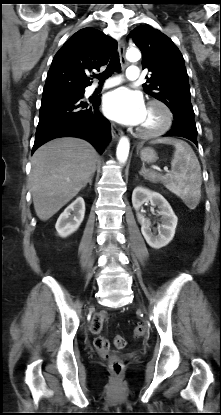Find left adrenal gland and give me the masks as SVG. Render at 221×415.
<instances>
[{
  "instance_id": "1",
  "label": "left adrenal gland",
  "mask_w": 221,
  "mask_h": 415,
  "mask_svg": "<svg viewBox=\"0 0 221 415\" xmlns=\"http://www.w3.org/2000/svg\"><path fill=\"white\" fill-rule=\"evenodd\" d=\"M143 170H144V167H142V170H141L140 174H142Z\"/></svg>"
}]
</instances>
